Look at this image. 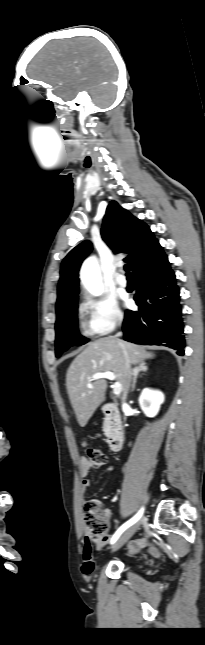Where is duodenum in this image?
I'll list each match as a JSON object with an SVG mask.
<instances>
[{
  "label": "duodenum",
  "instance_id": "obj_1",
  "mask_svg": "<svg viewBox=\"0 0 205 645\" xmlns=\"http://www.w3.org/2000/svg\"><path fill=\"white\" fill-rule=\"evenodd\" d=\"M102 409L108 423V447L111 451L117 452L122 448L124 441L120 413L115 405L109 403L105 404Z\"/></svg>",
  "mask_w": 205,
  "mask_h": 645
}]
</instances>
